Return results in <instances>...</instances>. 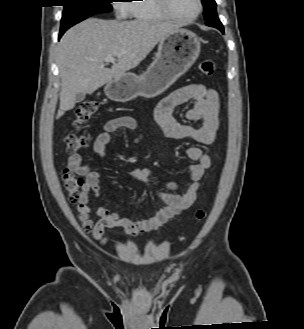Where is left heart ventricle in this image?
<instances>
[{"instance_id": "1", "label": "left heart ventricle", "mask_w": 304, "mask_h": 329, "mask_svg": "<svg viewBox=\"0 0 304 329\" xmlns=\"http://www.w3.org/2000/svg\"><path fill=\"white\" fill-rule=\"evenodd\" d=\"M172 11L180 16H193L198 10L197 0H170Z\"/></svg>"}]
</instances>
